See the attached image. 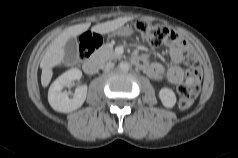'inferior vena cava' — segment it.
Here are the masks:
<instances>
[{
  "label": "inferior vena cava",
  "mask_w": 238,
  "mask_h": 158,
  "mask_svg": "<svg viewBox=\"0 0 238 158\" xmlns=\"http://www.w3.org/2000/svg\"><path fill=\"white\" fill-rule=\"evenodd\" d=\"M114 67V63H111V62H109V63H107L105 66H104V71H109L111 68H113Z\"/></svg>",
  "instance_id": "obj_1"
}]
</instances>
